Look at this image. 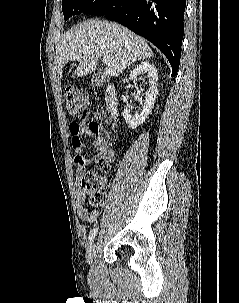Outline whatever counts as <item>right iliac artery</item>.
<instances>
[{
	"label": "right iliac artery",
	"instance_id": "82829eb1",
	"mask_svg": "<svg viewBox=\"0 0 239 303\" xmlns=\"http://www.w3.org/2000/svg\"><path fill=\"white\" fill-rule=\"evenodd\" d=\"M97 231L98 229L97 228H93L91 231H90V234H89V242H92L93 239L95 238L96 234H97Z\"/></svg>",
	"mask_w": 239,
	"mask_h": 303
}]
</instances>
